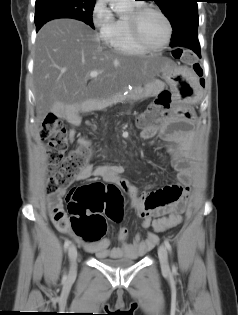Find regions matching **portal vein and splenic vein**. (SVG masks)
<instances>
[{
  "instance_id": "portal-vein-and-splenic-vein-1",
  "label": "portal vein and splenic vein",
  "mask_w": 238,
  "mask_h": 315,
  "mask_svg": "<svg viewBox=\"0 0 238 315\" xmlns=\"http://www.w3.org/2000/svg\"><path fill=\"white\" fill-rule=\"evenodd\" d=\"M98 76V72L97 71H91L90 72V77L91 78H96Z\"/></svg>"
}]
</instances>
